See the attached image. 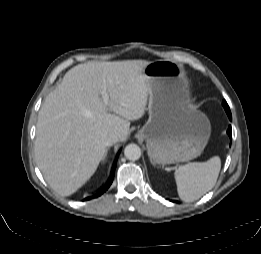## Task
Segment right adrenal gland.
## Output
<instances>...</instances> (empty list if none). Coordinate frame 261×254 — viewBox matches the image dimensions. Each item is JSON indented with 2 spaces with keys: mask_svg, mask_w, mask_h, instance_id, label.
<instances>
[{
  "mask_svg": "<svg viewBox=\"0 0 261 254\" xmlns=\"http://www.w3.org/2000/svg\"><path fill=\"white\" fill-rule=\"evenodd\" d=\"M108 150H109V148H107V150H106V153H105L104 158H103V160H102L103 163H104V161L106 160V157H107V154H108Z\"/></svg>",
  "mask_w": 261,
  "mask_h": 254,
  "instance_id": "obj_1",
  "label": "right adrenal gland"
}]
</instances>
